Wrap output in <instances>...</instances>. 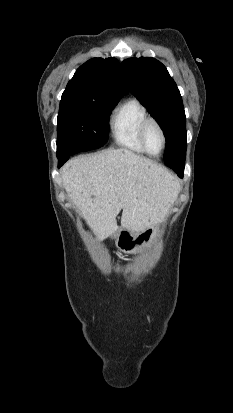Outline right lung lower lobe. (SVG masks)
<instances>
[{"label":"right lung lower lobe","instance_id":"right-lung-lower-lobe-1","mask_svg":"<svg viewBox=\"0 0 233 413\" xmlns=\"http://www.w3.org/2000/svg\"><path fill=\"white\" fill-rule=\"evenodd\" d=\"M58 157V167L62 166L70 156H57Z\"/></svg>","mask_w":233,"mask_h":413}]
</instances>
